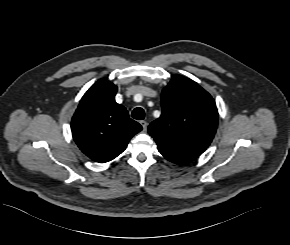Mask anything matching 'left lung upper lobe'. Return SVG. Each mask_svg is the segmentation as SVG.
Segmentation results:
<instances>
[{
    "label": "left lung upper lobe",
    "mask_w": 290,
    "mask_h": 245,
    "mask_svg": "<svg viewBox=\"0 0 290 245\" xmlns=\"http://www.w3.org/2000/svg\"><path fill=\"white\" fill-rule=\"evenodd\" d=\"M218 124L211 95L193 80L175 76L162 91V115L148 127L159 152L169 161L185 164L210 145Z\"/></svg>",
    "instance_id": "5c2ea615"
}]
</instances>
